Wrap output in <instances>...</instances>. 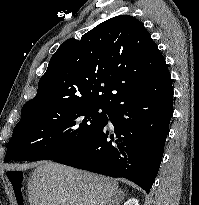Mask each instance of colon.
<instances>
[{
    "label": "colon",
    "mask_w": 199,
    "mask_h": 205,
    "mask_svg": "<svg viewBox=\"0 0 199 205\" xmlns=\"http://www.w3.org/2000/svg\"><path fill=\"white\" fill-rule=\"evenodd\" d=\"M8 179L12 185L13 191L17 197L22 194V185L25 180V175L21 171H12L8 173Z\"/></svg>",
    "instance_id": "colon-1"
}]
</instances>
